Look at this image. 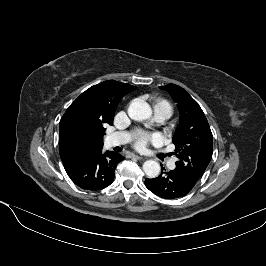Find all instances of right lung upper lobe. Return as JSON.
<instances>
[{"label": "right lung upper lobe", "instance_id": "obj_1", "mask_svg": "<svg viewBox=\"0 0 266 266\" xmlns=\"http://www.w3.org/2000/svg\"><path fill=\"white\" fill-rule=\"evenodd\" d=\"M136 86L104 81L83 92L66 110L59 124V152L64 166L95 150H102L104 126L112 125L118 103Z\"/></svg>", "mask_w": 266, "mask_h": 266}]
</instances>
